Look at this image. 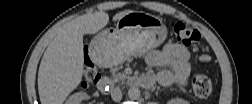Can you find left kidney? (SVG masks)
Wrapping results in <instances>:
<instances>
[{
  "label": "left kidney",
  "instance_id": "obj_1",
  "mask_svg": "<svg viewBox=\"0 0 252 104\" xmlns=\"http://www.w3.org/2000/svg\"><path fill=\"white\" fill-rule=\"evenodd\" d=\"M171 103L172 104H183V103H185V101L182 99L176 98V99H172Z\"/></svg>",
  "mask_w": 252,
  "mask_h": 104
}]
</instances>
